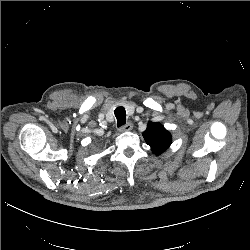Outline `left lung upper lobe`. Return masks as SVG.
<instances>
[{
	"label": "left lung upper lobe",
	"mask_w": 250,
	"mask_h": 250,
	"mask_svg": "<svg viewBox=\"0 0 250 250\" xmlns=\"http://www.w3.org/2000/svg\"><path fill=\"white\" fill-rule=\"evenodd\" d=\"M143 137L156 155L163 153L172 143L170 132L158 122H149Z\"/></svg>",
	"instance_id": "left-lung-upper-lobe-1"
}]
</instances>
